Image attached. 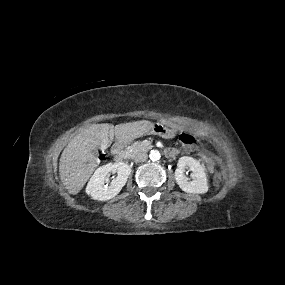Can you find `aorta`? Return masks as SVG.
Wrapping results in <instances>:
<instances>
[{"label": "aorta", "instance_id": "1", "mask_svg": "<svg viewBox=\"0 0 285 285\" xmlns=\"http://www.w3.org/2000/svg\"><path fill=\"white\" fill-rule=\"evenodd\" d=\"M149 157L152 161H157L160 159L161 155L158 150H151Z\"/></svg>", "mask_w": 285, "mask_h": 285}]
</instances>
